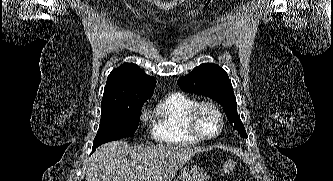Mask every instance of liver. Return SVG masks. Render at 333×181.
I'll return each instance as SVG.
<instances>
[{
    "label": "liver",
    "mask_w": 333,
    "mask_h": 181,
    "mask_svg": "<svg viewBox=\"0 0 333 181\" xmlns=\"http://www.w3.org/2000/svg\"><path fill=\"white\" fill-rule=\"evenodd\" d=\"M206 151L191 145L130 146L113 141L100 146L86 164V181H172L193 156Z\"/></svg>",
    "instance_id": "liver-1"
}]
</instances>
